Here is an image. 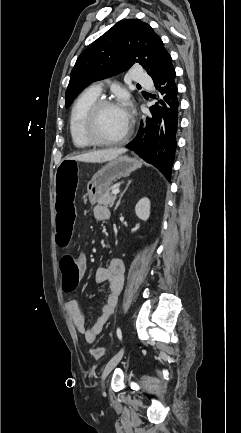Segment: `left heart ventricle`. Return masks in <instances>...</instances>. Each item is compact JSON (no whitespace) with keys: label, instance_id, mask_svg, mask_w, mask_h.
Segmentation results:
<instances>
[{"label":"left heart ventricle","instance_id":"obj_1","mask_svg":"<svg viewBox=\"0 0 241 433\" xmlns=\"http://www.w3.org/2000/svg\"><path fill=\"white\" fill-rule=\"evenodd\" d=\"M126 120L121 108L117 106H109L104 108L97 121V133L105 139H115L120 137L126 127Z\"/></svg>","mask_w":241,"mask_h":433}]
</instances>
